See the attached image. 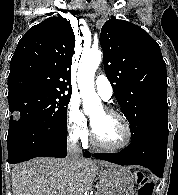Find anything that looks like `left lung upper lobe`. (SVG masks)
<instances>
[{
    "mask_svg": "<svg viewBox=\"0 0 178 195\" xmlns=\"http://www.w3.org/2000/svg\"><path fill=\"white\" fill-rule=\"evenodd\" d=\"M100 44L132 140L168 131L166 64L157 42L141 27L113 18L102 26Z\"/></svg>",
    "mask_w": 178,
    "mask_h": 195,
    "instance_id": "left-lung-upper-lobe-1",
    "label": "left lung upper lobe"
}]
</instances>
